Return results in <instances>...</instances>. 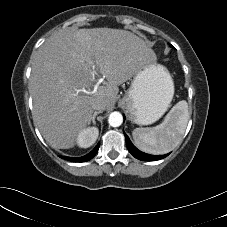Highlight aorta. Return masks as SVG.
Here are the masks:
<instances>
[{"label":"aorta","instance_id":"762f6f07","mask_svg":"<svg viewBox=\"0 0 227 227\" xmlns=\"http://www.w3.org/2000/svg\"><path fill=\"white\" fill-rule=\"evenodd\" d=\"M108 122L112 127H119L123 122V116L119 112H112L109 115Z\"/></svg>","mask_w":227,"mask_h":227}]
</instances>
